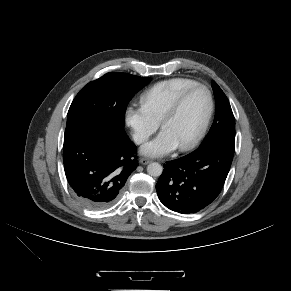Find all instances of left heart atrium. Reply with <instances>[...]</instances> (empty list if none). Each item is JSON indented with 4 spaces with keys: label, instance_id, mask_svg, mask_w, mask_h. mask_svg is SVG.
<instances>
[{
    "label": "left heart atrium",
    "instance_id": "left-heart-atrium-1",
    "mask_svg": "<svg viewBox=\"0 0 291 291\" xmlns=\"http://www.w3.org/2000/svg\"><path fill=\"white\" fill-rule=\"evenodd\" d=\"M178 144L174 137L166 130H162L157 137L146 143L141 152L151 157H159L175 150Z\"/></svg>",
    "mask_w": 291,
    "mask_h": 291
}]
</instances>
